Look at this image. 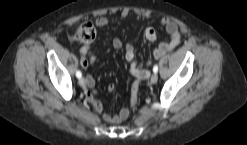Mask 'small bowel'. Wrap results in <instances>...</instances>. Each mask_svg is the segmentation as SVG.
Wrapping results in <instances>:
<instances>
[{
	"label": "small bowel",
	"mask_w": 247,
	"mask_h": 145,
	"mask_svg": "<svg viewBox=\"0 0 247 145\" xmlns=\"http://www.w3.org/2000/svg\"><path fill=\"white\" fill-rule=\"evenodd\" d=\"M126 13H123L125 16ZM108 19L104 16L96 18L95 24L99 28H103L108 25ZM160 25L165 28L167 34L169 35V40L167 42L160 43L153 51V58L158 59L163 54L174 49L179 45L181 41V34L179 26L175 21L169 17H164L160 20ZM157 39L156 30L152 27H147L143 33V42H153ZM112 46L114 49H121L123 47V42L119 38H115L112 41ZM125 48V58L129 63L130 73L136 78V81L146 80L149 77V71L147 67L151 65L152 60H148L144 63L139 62L136 59V50L132 42H127L124 46ZM97 62V56L93 53L91 45L86 44L80 49V64L84 69H87L90 65ZM86 86L87 89L84 92L85 98L93 105L95 111L99 114L103 112V103L97 98L96 92L93 91L96 81L91 75L86 76ZM108 90L111 92L114 90L113 85L108 86ZM128 116L127 110H122L117 115L103 114L102 119L108 124H119Z\"/></svg>",
	"instance_id": "c3829d8e"
}]
</instances>
